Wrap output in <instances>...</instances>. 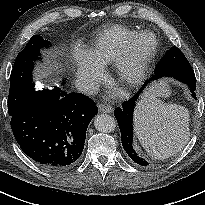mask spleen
<instances>
[{
    "mask_svg": "<svg viewBox=\"0 0 205 205\" xmlns=\"http://www.w3.org/2000/svg\"><path fill=\"white\" fill-rule=\"evenodd\" d=\"M189 121L188 109L157 99L152 104L139 103L134 113V128L141 145L161 160L175 155L188 143Z\"/></svg>",
    "mask_w": 205,
    "mask_h": 205,
    "instance_id": "obj_1",
    "label": "spleen"
}]
</instances>
